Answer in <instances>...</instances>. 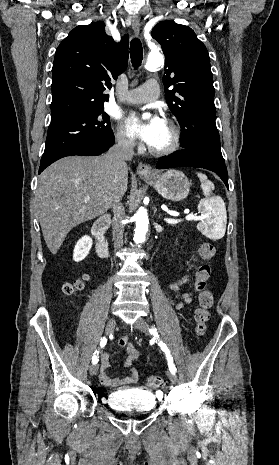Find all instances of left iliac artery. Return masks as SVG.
Here are the masks:
<instances>
[{
    "label": "left iliac artery",
    "instance_id": "left-iliac-artery-1",
    "mask_svg": "<svg viewBox=\"0 0 279 465\" xmlns=\"http://www.w3.org/2000/svg\"><path fill=\"white\" fill-rule=\"evenodd\" d=\"M150 332L154 335L155 338L159 337V335H158V333L156 331V328L151 329ZM158 345L163 350V352L166 354L170 372L175 374L176 373V368H175V365L173 363V359L171 357L169 349L167 348L166 344L163 343L162 341H160L159 339H158Z\"/></svg>",
    "mask_w": 279,
    "mask_h": 465
}]
</instances>
